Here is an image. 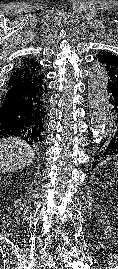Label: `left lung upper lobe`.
<instances>
[{"instance_id": "left-lung-upper-lobe-1", "label": "left lung upper lobe", "mask_w": 118, "mask_h": 269, "mask_svg": "<svg viewBox=\"0 0 118 269\" xmlns=\"http://www.w3.org/2000/svg\"><path fill=\"white\" fill-rule=\"evenodd\" d=\"M95 59L105 66L108 76V92L118 95V56L109 51H101Z\"/></svg>"}]
</instances>
